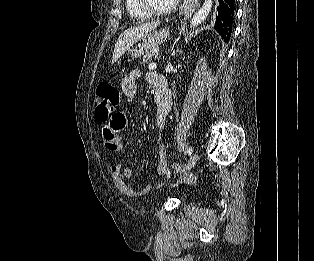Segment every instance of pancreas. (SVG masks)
I'll list each match as a JSON object with an SVG mask.
<instances>
[{"label": "pancreas", "instance_id": "obj_1", "mask_svg": "<svg viewBox=\"0 0 314 261\" xmlns=\"http://www.w3.org/2000/svg\"><path fill=\"white\" fill-rule=\"evenodd\" d=\"M157 57H158V48H154L143 56L142 63L145 64L148 60L152 58H157Z\"/></svg>", "mask_w": 314, "mask_h": 261}]
</instances>
